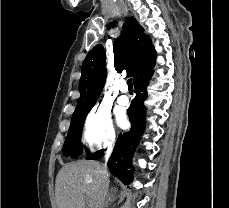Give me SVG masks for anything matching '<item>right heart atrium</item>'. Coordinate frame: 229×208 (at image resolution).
I'll list each match as a JSON object with an SVG mask.
<instances>
[{
	"mask_svg": "<svg viewBox=\"0 0 229 208\" xmlns=\"http://www.w3.org/2000/svg\"><path fill=\"white\" fill-rule=\"evenodd\" d=\"M82 140L90 150L112 146L116 133L110 112L102 106H94L86 115L82 127Z\"/></svg>",
	"mask_w": 229,
	"mask_h": 208,
	"instance_id": "right-heart-atrium-1",
	"label": "right heart atrium"
}]
</instances>
